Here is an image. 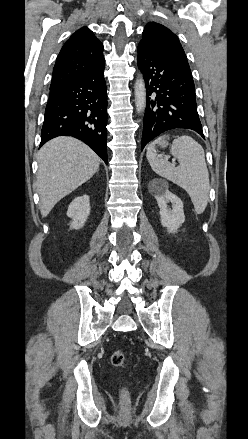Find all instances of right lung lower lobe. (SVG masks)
<instances>
[{
    "label": "right lung lower lobe",
    "mask_w": 248,
    "mask_h": 439,
    "mask_svg": "<svg viewBox=\"0 0 248 439\" xmlns=\"http://www.w3.org/2000/svg\"><path fill=\"white\" fill-rule=\"evenodd\" d=\"M104 66L50 89L40 147L54 137L73 136L108 163Z\"/></svg>",
    "instance_id": "right-lung-lower-lobe-1"
}]
</instances>
